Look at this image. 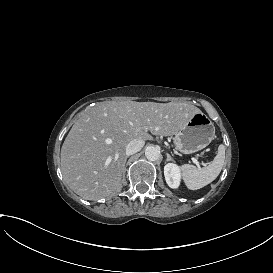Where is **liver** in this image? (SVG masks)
<instances>
[{"label":"liver","instance_id":"6515ba94","mask_svg":"<svg viewBox=\"0 0 273 273\" xmlns=\"http://www.w3.org/2000/svg\"><path fill=\"white\" fill-rule=\"evenodd\" d=\"M201 113L187 103L119 101L95 105L73 125L61 149V170L68 186L88 200L120 188L126 146L133 139L173 135Z\"/></svg>","mask_w":273,"mask_h":273}]
</instances>
